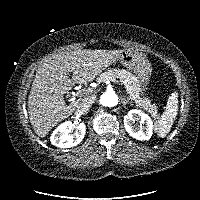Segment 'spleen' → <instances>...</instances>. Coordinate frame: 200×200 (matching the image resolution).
I'll use <instances>...</instances> for the list:
<instances>
[{"instance_id": "1", "label": "spleen", "mask_w": 200, "mask_h": 200, "mask_svg": "<svg viewBox=\"0 0 200 200\" xmlns=\"http://www.w3.org/2000/svg\"><path fill=\"white\" fill-rule=\"evenodd\" d=\"M178 111V93L175 91L168 98L162 116L155 122V132L160 137H165L171 130Z\"/></svg>"}]
</instances>
